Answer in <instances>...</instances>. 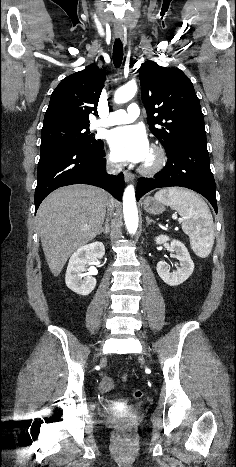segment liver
<instances>
[{
  "mask_svg": "<svg viewBox=\"0 0 236 467\" xmlns=\"http://www.w3.org/2000/svg\"><path fill=\"white\" fill-rule=\"evenodd\" d=\"M114 205L104 190L83 184L58 188L43 200L36 221L45 258L55 277L75 250L95 238L106 207Z\"/></svg>",
  "mask_w": 236,
  "mask_h": 467,
  "instance_id": "liver-1",
  "label": "liver"
}]
</instances>
